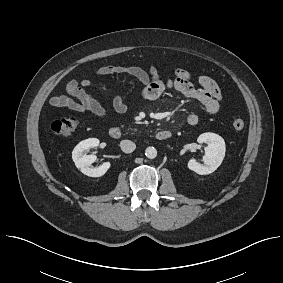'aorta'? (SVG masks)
I'll use <instances>...</instances> for the list:
<instances>
[{"mask_svg":"<svg viewBox=\"0 0 283 283\" xmlns=\"http://www.w3.org/2000/svg\"><path fill=\"white\" fill-rule=\"evenodd\" d=\"M145 155L149 159H154L157 156V150L154 147H147L145 150Z\"/></svg>","mask_w":283,"mask_h":283,"instance_id":"aorta-1","label":"aorta"}]
</instances>
